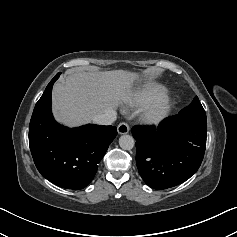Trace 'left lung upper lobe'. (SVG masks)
<instances>
[{"label":"left lung upper lobe","mask_w":237,"mask_h":237,"mask_svg":"<svg viewBox=\"0 0 237 237\" xmlns=\"http://www.w3.org/2000/svg\"><path fill=\"white\" fill-rule=\"evenodd\" d=\"M178 116L201 122H207L205 110L197 96L193 99L189 106L183 108L179 112Z\"/></svg>","instance_id":"5c2ea615"}]
</instances>
